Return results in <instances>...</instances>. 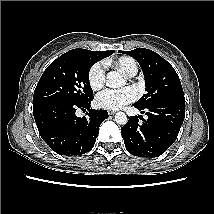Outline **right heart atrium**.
Here are the masks:
<instances>
[{"label":"right heart atrium","instance_id":"right-heart-atrium-1","mask_svg":"<svg viewBox=\"0 0 214 214\" xmlns=\"http://www.w3.org/2000/svg\"><path fill=\"white\" fill-rule=\"evenodd\" d=\"M106 81V66L104 62L94 63L88 71V82L94 91L103 88Z\"/></svg>","mask_w":214,"mask_h":214}]
</instances>
